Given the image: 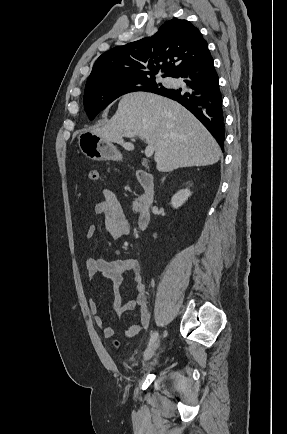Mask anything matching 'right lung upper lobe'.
<instances>
[{
    "label": "right lung upper lobe",
    "mask_w": 287,
    "mask_h": 434,
    "mask_svg": "<svg viewBox=\"0 0 287 434\" xmlns=\"http://www.w3.org/2000/svg\"><path fill=\"white\" fill-rule=\"evenodd\" d=\"M208 52V44L195 26L187 20L172 19L151 38L117 46L103 53L95 62L86 84L156 75L159 72L174 77Z\"/></svg>",
    "instance_id": "right-lung-upper-lobe-1"
}]
</instances>
